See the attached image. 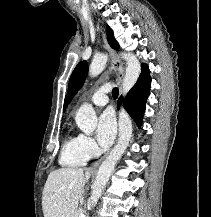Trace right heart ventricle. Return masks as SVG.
Masks as SVG:
<instances>
[{
	"label": "right heart ventricle",
	"instance_id": "obj_1",
	"mask_svg": "<svg viewBox=\"0 0 211 217\" xmlns=\"http://www.w3.org/2000/svg\"><path fill=\"white\" fill-rule=\"evenodd\" d=\"M88 159L81 148L79 136L68 137L61 151V164L68 167H78L84 165Z\"/></svg>",
	"mask_w": 211,
	"mask_h": 217
}]
</instances>
